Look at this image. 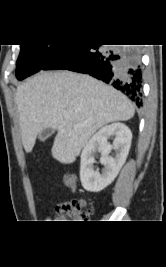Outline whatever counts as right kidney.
<instances>
[{"instance_id":"right-kidney-1","label":"right kidney","mask_w":166,"mask_h":267,"mask_svg":"<svg viewBox=\"0 0 166 267\" xmlns=\"http://www.w3.org/2000/svg\"><path fill=\"white\" fill-rule=\"evenodd\" d=\"M111 136H115L112 145L108 142ZM131 140V130L122 123L107 125L92 136L81 153L80 180L85 190L99 192L116 178L128 156ZM112 150L116 151L114 157L109 156ZM96 152L101 153V173L93 166Z\"/></svg>"}]
</instances>
